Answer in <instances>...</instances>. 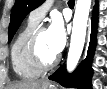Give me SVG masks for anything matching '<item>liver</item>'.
Returning a JSON list of instances; mask_svg holds the SVG:
<instances>
[{
  "mask_svg": "<svg viewBox=\"0 0 107 89\" xmlns=\"http://www.w3.org/2000/svg\"><path fill=\"white\" fill-rule=\"evenodd\" d=\"M47 84L46 81H22L10 85L8 89H41Z\"/></svg>",
  "mask_w": 107,
  "mask_h": 89,
  "instance_id": "1",
  "label": "liver"
}]
</instances>
